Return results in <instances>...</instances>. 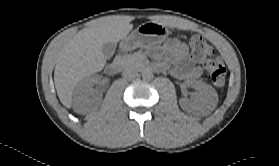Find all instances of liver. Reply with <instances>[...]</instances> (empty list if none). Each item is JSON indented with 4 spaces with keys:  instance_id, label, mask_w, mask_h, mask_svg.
<instances>
[{
    "instance_id": "6515ba94",
    "label": "liver",
    "mask_w": 279,
    "mask_h": 166,
    "mask_svg": "<svg viewBox=\"0 0 279 166\" xmlns=\"http://www.w3.org/2000/svg\"><path fill=\"white\" fill-rule=\"evenodd\" d=\"M133 25L125 16L100 18L88 28L80 30L59 51L54 70V81L61 103L72 106V95L77 84L84 78L100 72L106 58L103 44L117 43L125 38Z\"/></svg>"
}]
</instances>
